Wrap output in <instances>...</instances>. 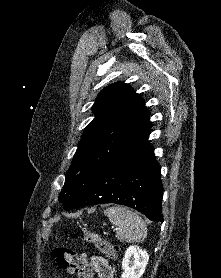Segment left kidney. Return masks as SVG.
<instances>
[{
  "mask_svg": "<svg viewBox=\"0 0 221 278\" xmlns=\"http://www.w3.org/2000/svg\"><path fill=\"white\" fill-rule=\"evenodd\" d=\"M149 260V255L145 250L137 245L127 248L122 260L123 273L121 278H141Z\"/></svg>",
  "mask_w": 221,
  "mask_h": 278,
  "instance_id": "obj_1",
  "label": "left kidney"
}]
</instances>
